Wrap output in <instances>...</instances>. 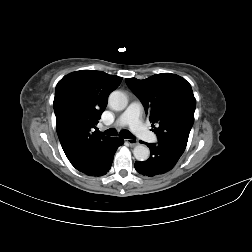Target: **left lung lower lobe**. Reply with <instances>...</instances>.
<instances>
[{"instance_id":"left-lung-lower-lobe-1","label":"left lung lower lobe","mask_w":252,"mask_h":252,"mask_svg":"<svg viewBox=\"0 0 252 252\" xmlns=\"http://www.w3.org/2000/svg\"><path fill=\"white\" fill-rule=\"evenodd\" d=\"M146 144L150 149V157L146 161H136L135 169L148 177L161 175L171 170L184 152V149L170 142L158 141Z\"/></svg>"}]
</instances>
